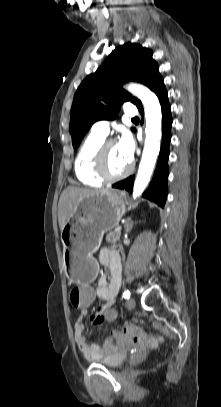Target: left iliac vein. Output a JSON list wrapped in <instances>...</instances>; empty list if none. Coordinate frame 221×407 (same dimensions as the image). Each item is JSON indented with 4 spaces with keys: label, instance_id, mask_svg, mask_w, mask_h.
<instances>
[{
    "label": "left iliac vein",
    "instance_id": "obj_1",
    "mask_svg": "<svg viewBox=\"0 0 221 407\" xmlns=\"http://www.w3.org/2000/svg\"><path fill=\"white\" fill-rule=\"evenodd\" d=\"M135 305H136V302H135V299L134 298H130V299H128L127 301H126V307L128 308V309H134V307H135Z\"/></svg>",
    "mask_w": 221,
    "mask_h": 407
}]
</instances>
